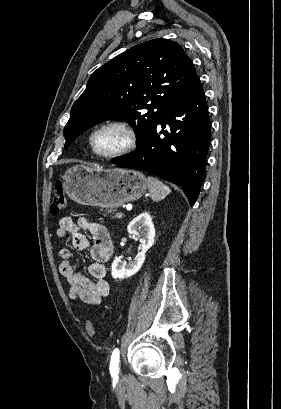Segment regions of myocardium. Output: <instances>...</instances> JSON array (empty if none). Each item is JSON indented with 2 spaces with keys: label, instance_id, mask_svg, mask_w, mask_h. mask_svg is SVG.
<instances>
[{
  "label": "myocardium",
  "instance_id": "myocardium-1",
  "mask_svg": "<svg viewBox=\"0 0 281 409\" xmlns=\"http://www.w3.org/2000/svg\"><path fill=\"white\" fill-rule=\"evenodd\" d=\"M104 133H115L119 136V144L112 150L100 152L97 149V138ZM138 141L137 132L133 127L122 121H108L97 126L90 137L92 152L102 158H117L133 150Z\"/></svg>",
  "mask_w": 281,
  "mask_h": 409
}]
</instances>
